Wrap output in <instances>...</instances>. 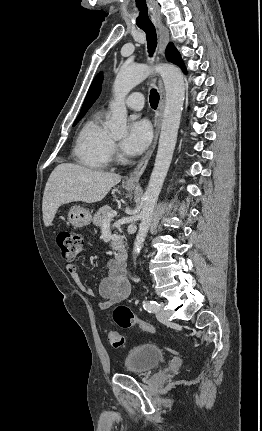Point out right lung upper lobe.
Returning a JSON list of instances; mask_svg holds the SVG:
<instances>
[{"label": "right lung upper lobe", "instance_id": "cb5924a9", "mask_svg": "<svg viewBox=\"0 0 262 431\" xmlns=\"http://www.w3.org/2000/svg\"><path fill=\"white\" fill-rule=\"evenodd\" d=\"M101 82H102V75L98 74L95 79L93 80L88 93L86 95V98L84 100L83 106L81 108L80 115H85L87 110L91 107V105L95 102V100L98 98L100 91H101Z\"/></svg>", "mask_w": 262, "mask_h": 431}]
</instances>
